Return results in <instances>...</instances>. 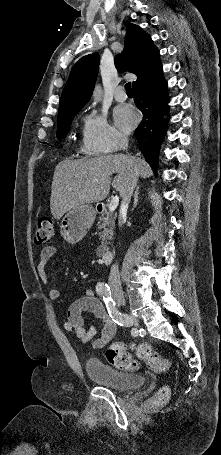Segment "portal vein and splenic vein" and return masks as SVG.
<instances>
[{
	"label": "portal vein and splenic vein",
	"mask_w": 221,
	"mask_h": 455,
	"mask_svg": "<svg viewBox=\"0 0 221 455\" xmlns=\"http://www.w3.org/2000/svg\"><path fill=\"white\" fill-rule=\"evenodd\" d=\"M95 181L97 182L98 180H95ZM118 205H119V197L116 195L112 198V200L108 206L109 213L114 212L116 210V208L118 207Z\"/></svg>",
	"instance_id": "portal-vein-and-splenic-vein-1"
}]
</instances>
